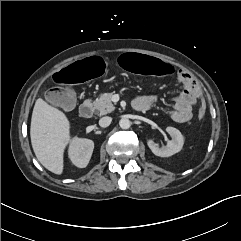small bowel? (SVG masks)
<instances>
[{"instance_id":"1","label":"small bowel","mask_w":241,"mask_h":241,"mask_svg":"<svg viewBox=\"0 0 241 241\" xmlns=\"http://www.w3.org/2000/svg\"><path fill=\"white\" fill-rule=\"evenodd\" d=\"M177 77L183 84L184 90L174 99V109L171 111V117L178 123H186L192 118V109L201 96V88L195 77L187 70L179 69ZM156 101L157 97L155 95H145L138 97L134 102H140L148 109Z\"/></svg>"}]
</instances>
